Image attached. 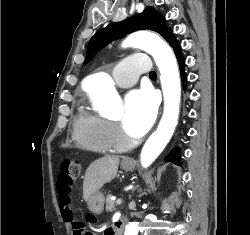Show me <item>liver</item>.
I'll use <instances>...</instances> for the list:
<instances>
[{"mask_svg":"<svg viewBox=\"0 0 250 235\" xmlns=\"http://www.w3.org/2000/svg\"><path fill=\"white\" fill-rule=\"evenodd\" d=\"M119 162L118 156H105L89 165L83 182V198L87 203L94 193L116 177Z\"/></svg>","mask_w":250,"mask_h":235,"instance_id":"1","label":"liver"}]
</instances>
